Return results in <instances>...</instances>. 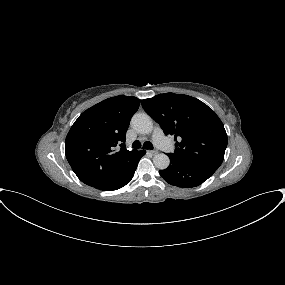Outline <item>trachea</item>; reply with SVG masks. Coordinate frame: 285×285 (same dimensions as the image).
<instances>
[{
  "instance_id": "obj_1",
  "label": "trachea",
  "mask_w": 285,
  "mask_h": 285,
  "mask_svg": "<svg viewBox=\"0 0 285 285\" xmlns=\"http://www.w3.org/2000/svg\"><path fill=\"white\" fill-rule=\"evenodd\" d=\"M141 147V143L139 141H134L133 144H132V148L134 149H138ZM143 148L145 149H153V145L151 142L147 141L143 144Z\"/></svg>"
}]
</instances>
